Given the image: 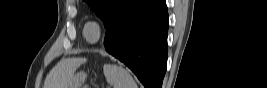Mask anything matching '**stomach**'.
I'll return each instance as SVG.
<instances>
[{"mask_svg": "<svg viewBox=\"0 0 267 88\" xmlns=\"http://www.w3.org/2000/svg\"><path fill=\"white\" fill-rule=\"evenodd\" d=\"M85 74L80 72L78 73L68 84L67 88H80L82 83L84 82Z\"/></svg>", "mask_w": 267, "mask_h": 88, "instance_id": "0dacf381", "label": "stomach"}]
</instances>
